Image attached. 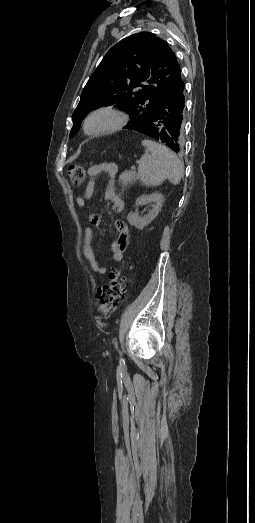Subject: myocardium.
<instances>
[{
    "mask_svg": "<svg viewBox=\"0 0 255 523\" xmlns=\"http://www.w3.org/2000/svg\"><path fill=\"white\" fill-rule=\"evenodd\" d=\"M99 116H107L111 122L102 128L92 127L91 124L93 120ZM128 119L129 116L124 111L110 106L99 107L93 109L86 115L83 120L82 129L84 134L89 137L107 136L122 130L127 125Z\"/></svg>",
    "mask_w": 255,
    "mask_h": 523,
    "instance_id": "f54148a6",
    "label": "myocardium"
}]
</instances>
